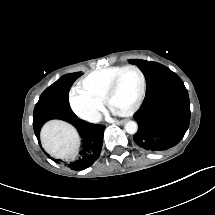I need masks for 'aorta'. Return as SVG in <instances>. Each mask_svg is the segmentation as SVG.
I'll return each instance as SVG.
<instances>
[{
	"label": "aorta",
	"instance_id": "762f6f07",
	"mask_svg": "<svg viewBox=\"0 0 215 215\" xmlns=\"http://www.w3.org/2000/svg\"><path fill=\"white\" fill-rule=\"evenodd\" d=\"M138 126L134 121H129L125 124V130L129 134H135L137 132Z\"/></svg>",
	"mask_w": 215,
	"mask_h": 215
}]
</instances>
